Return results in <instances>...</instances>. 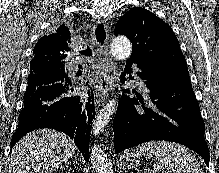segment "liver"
Masks as SVG:
<instances>
[{
	"label": "liver",
	"mask_w": 219,
	"mask_h": 173,
	"mask_svg": "<svg viewBox=\"0 0 219 173\" xmlns=\"http://www.w3.org/2000/svg\"><path fill=\"white\" fill-rule=\"evenodd\" d=\"M70 137L54 129H41L24 136L12 149L8 173H51L75 153Z\"/></svg>",
	"instance_id": "1"
}]
</instances>
